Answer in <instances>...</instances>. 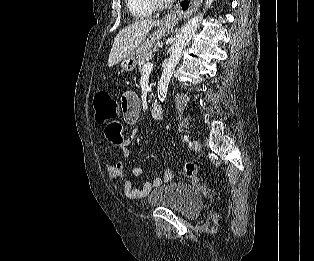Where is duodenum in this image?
I'll return each instance as SVG.
<instances>
[{
	"mask_svg": "<svg viewBox=\"0 0 314 261\" xmlns=\"http://www.w3.org/2000/svg\"><path fill=\"white\" fill-rule=\"evenodd\" d=\"M150 113H151V117L154 120L161 119L163 111H162L161 105L157 101H154L152 103L151 108H150Z\"/></svg>",
	"mask_w": 314,
	"mask_h": 261,
	"instance_id": "1",
	"label": "duodenum"
}]
</instances>
